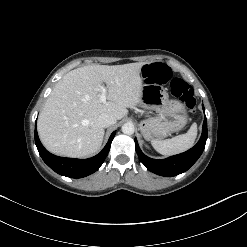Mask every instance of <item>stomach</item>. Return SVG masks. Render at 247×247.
<instances>
[{"instance_id":"stomach-1","label":"stomach","mask_w":247,"mask_h":247,"mask_svg":"<svg viewBox=\"0 0 247 247\" xmlns=\"http://www.w3.org/2000/svg\"><path fill=\"white\" fill-rule=\"evenodd\" d=\"M141 104L158 113L140 123V130L147 140L166 137L187 124L185 105L179 100L170 99L167 90L159 84L143 85Z\"/></svg>"}]
</instances>
